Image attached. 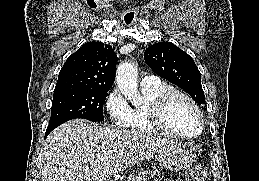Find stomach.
Masks as SVG:
<instances>
[{
    "label": "stomach",
    "instance_id": "0dacf381",
    "mask_svg": "<svg viewBox=\"0 0 259 181\" xmlns=\"http://www.w3.org/2000/svg\"><path fill=\"white\" fill-rule=\"evenodd\" d=\"M156 161L166 169L180 171L189 168L194 162V154L181 144L172 142L159 151Z\"/></svg>",
    "mask_w": 259,
    "mask_h": 181
}]
</instances>
